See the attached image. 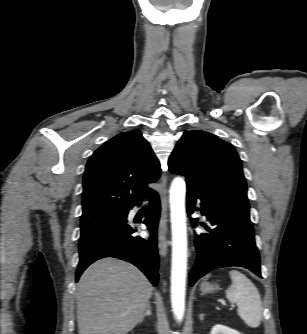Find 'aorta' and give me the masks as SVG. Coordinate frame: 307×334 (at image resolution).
<instances>
[{"mask_svg": "<svg viewBox=\"0 0 307 334\" xmlns=\"http://www.w3.org/2000/svg\"><path fill=\"white\" fill-rule=\"evenodd\" d=\"M186 183L176 177L170 187V216L172 228L171 305L180 322L185 312L187 272V231L185 209Z\"/></svg>", "mask_w": 307, "mask_h": 334, "instance_id": "aorta-1", "label": "aorta"}]
</instances>
